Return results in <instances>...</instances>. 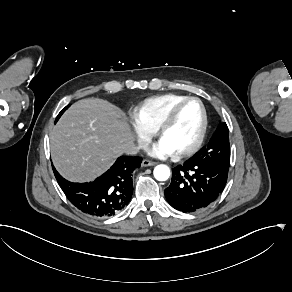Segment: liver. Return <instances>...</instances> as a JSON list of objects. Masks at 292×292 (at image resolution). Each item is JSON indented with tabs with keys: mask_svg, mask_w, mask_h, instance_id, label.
I'll list each match as a JSON object with an SVG mask.
<instances>
[{
	"mask_svg": "<svg viewBox=\"0 0 292 292\" xmlns=\"http://www.w3.org/2000/svg\"><path fill=\"white\" fill-rule=\"evenodd\" d=\"M51 155L58 172L71 182H89L135 145L125 114L99 98L82 99L50 129Z\"/></svg>",
	"mask_w": 292,
	"mask_h": 292,
	"instance_id": "1",
	"label": "liver"
}]
</instances>
